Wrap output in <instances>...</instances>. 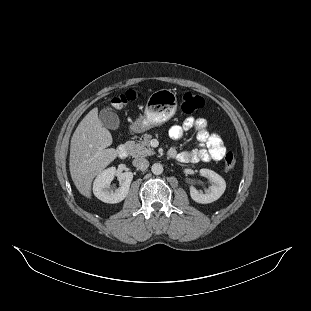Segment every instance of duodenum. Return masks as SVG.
Returning <instances> with one entry per match:
<instances>
[{
	"label": "duodenum",
	"mask_w": 311,
	"mask_h": 311,
	"mask_svg": "<svg viewBox=\"0 0 311 311\" xmlns=\"http://www.w3.org/2000/svg\"><path fill=\"white\" fill-rule=\"evenodd\" d=\"M128 155V146L121 144L117 148V156L121 159L125 158Z\"/></svg>",
	"instance_id": "duodenum-1"
}]
</instances>
